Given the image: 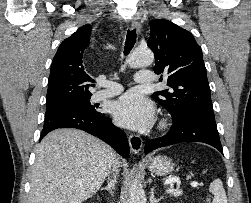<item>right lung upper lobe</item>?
<instances>
[{"label":"right lung upper lobe","instance_id":"1","mask_svg":"<svg viewBox=\"0 0 251 203\" xmlns=\"http://www.w3.org/2000/svg\"><path fill=\"white\" fill-rule=\"evenodd\" d=\"M91 25H84L59 46L51 65L46 109L89 99L93 79L82 65L83 53L89 46Z\"/></svg>","mask_w":251,"mask_h":203}]
</instances>
